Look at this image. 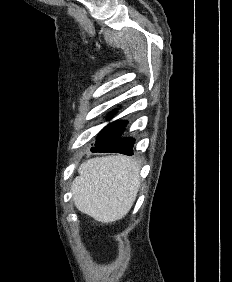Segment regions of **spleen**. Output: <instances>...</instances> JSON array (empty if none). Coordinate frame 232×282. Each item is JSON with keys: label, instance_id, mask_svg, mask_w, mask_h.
<instances>
[{"label": "spleen", "instance_id": "3e777b00", "mask_svg": "<svg viewBox=\"0 0 232 282\" xmlns=\"http://www.w3.org/2000/svg\"><path fill=\"white\" fill-rule=\"evenodd\" d=\"M139 169L134 159L125 156L84 162L71 186L76 207L102 223L123 218L136 199Z\"/></svg>", "mask_w": 232, "mask_h": 282}]
</instances>
